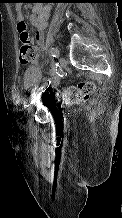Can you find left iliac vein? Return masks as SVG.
Wrapping results in <instances>:
<instances>
[{"instance_id": "1", "label": "left iliac vein", "mask_w": 122, "mask_h": 218, "mask_svg": "<svg viewBox=\"0 0 122 218\" xmlns=\"http://www.w3.org/2000/svg\"><path fill=\"white\" fill-rule=\"evenodd\" d=\"M59 64H60V69L61 70L64 69L66 67V65H67V62H66L65 58L60 57L59 58ZM58 81H59V78L57 76H55L54 79L52 80L51 86H53V87L56 86L58 84ZM40 95H38V97H36L35 100L31 104H29V106L27 107L28 113H31L33 111V108L36 105V102L39 99Z\"/></svg>"}]
</instances>
